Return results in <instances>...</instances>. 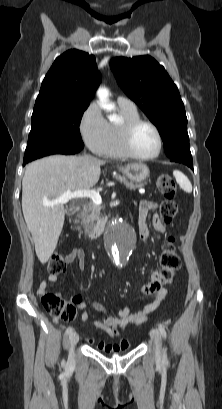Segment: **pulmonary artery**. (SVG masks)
<instances>
[{"instance_id":"1","label":"pulmonary artery","mask_w":222,"mask_h":409,"mask_svg":"<svg viewBox=\"0 0 222 409\" xmlns=\"http://www.w3.org/2000/svg\"><path fill=\"white\" fill-rule=\"evenodd\" d=\"M117 103L120 106L127 107V108H136L134 102L127 97L119 96L117 98Z\"/></svg>"}]
</instances>
